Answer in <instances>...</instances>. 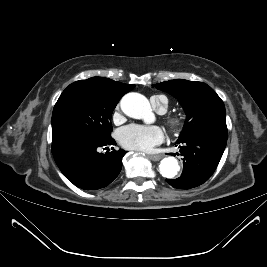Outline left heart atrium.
<instances>
[{"instance_id": "left-heart-atrium-1", "label": "left heart atrium", "mask_w": 267, "mask_h": 267, "mask_svg": "<svg viewBox=\"0 0 267 267\" xmlns=\"http://www.w3.org/2000/svg\"><path fill=\"white\" fill-rule=\"evenodd\" d=\"M118 140L127 149L148 152L164 140V132L158 126L131 124L118 131Z\"/></svg>"}]
</instances>
